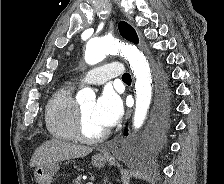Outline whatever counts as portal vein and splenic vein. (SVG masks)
Returning <instances> with one entry per match:
<instances>
[{"mask_svg": "<svg viewBox=\"0 0 224 184\" xmlns=\"http://www.w3.org/2000/svg\"><path fill=\"white\" fill-rule=\"evenodd\" d=\"M87 184H93L92 182H88Z\"/></svg>", "mask_w": 224, "mask_h": 184, "instance_id": "18ae733b", "label": "portal vein and splenic vein"}]
</instances>
